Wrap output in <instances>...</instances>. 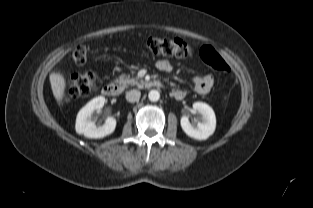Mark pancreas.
I'll return each instance as SVG.
<instances>
[{
    "label": "pancreas",
    "instance_id": "pancreas-1",
    "mask_svg": "<svg viewBox=\"0 0 313 208\" xmlns=\"http://www.w3.org/2000/svg\"><path fill=\"white\" fill-rule=\"evenodd\" d=\"M116 82L120 85H123L124 87H127L128 85L134 86L139 84L138 78H130V76L126 74L120 75Z\"/></svg>",
    "mask_w": 313,
    "mask_h": 208
}]
</instances>
